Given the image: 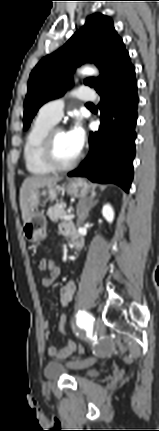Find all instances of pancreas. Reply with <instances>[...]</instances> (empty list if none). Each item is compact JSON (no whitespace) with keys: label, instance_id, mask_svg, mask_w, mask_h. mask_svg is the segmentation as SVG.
<instances>
[{"label":"pancreas","instance_id":"1","mask_svg":"<svg viewBox=\"0 0 159 431\" xmlns=\"http://www.w3.org/2000/svg\"><path fill=\"white\" fill-rule=\"evenodd\" d=\"M65 207H66V204L64 202L56 203L54 206H51L48 209L47 211L48 217L53 221H57L58 219H61L62 216L66 214Z\"/></svg>","mask_w":159,"mask_h":431}]
</instances>
